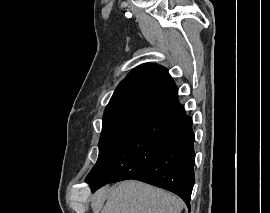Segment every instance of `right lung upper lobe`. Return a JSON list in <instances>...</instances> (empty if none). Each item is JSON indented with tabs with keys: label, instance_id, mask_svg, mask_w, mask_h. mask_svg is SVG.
<instances>
[{
	"label": "right lung upper lobe",
	"instance_id": "cb5924a9",
	"mask_svg": "<svg viewBox=\"0 0 270 213\" xmlns=\"http://www.w3.org/2000/svg\"><path fill=\"white\" fill-rule=\"evenodd\" d=\"M178 94V89L163 66L145 63L134 68L116 88L105 113L131 104L158 105Z\"/></svg>",
	"mask_w": 270,
	"mask_h": 213
}]
</instances>
